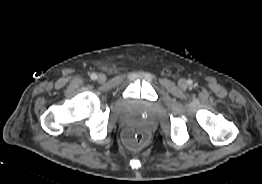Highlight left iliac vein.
Listing matches in <instances>:
<instances>
[{
    "label": "left iliac vein",
    "instance_id": "left-iliac-vein-1",
    "mask_svg": "<svg viewBox=\"0 0 262 184\" xmlns=\"http://www.w3.org/2000/svg\"><path fill=\"white\" fill-rule=\"evenodd\" d=\"M179 86L180 87H185L186 86V81L184 79L179 80Z\"/></svg>",
    "mask_w": 262,
    "mask_h": 184
}]
</instances>
